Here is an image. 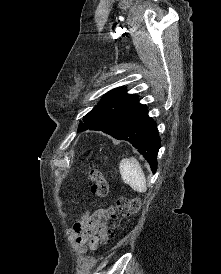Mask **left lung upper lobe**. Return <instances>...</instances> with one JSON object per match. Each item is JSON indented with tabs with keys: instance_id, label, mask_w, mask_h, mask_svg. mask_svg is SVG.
<instances>
[{
	"instance_id": "obj_1",
	"label": "left lung upper lobe",
	"mask_w": 221,
	"mask_h": 274,
	"mask_svg": "<svg viewBox=\"0 0 221 274\" xmlns=\"http://www.w3.org/2000/svg\"><path fill=\"white\" fill-rule=\"evenodd\" d=\"M135 98H137V96L128 95L125 92V88L124 87H119V88H115V89L109 91L102 98V100L99 102V104L97 106H101V105H104V104H106L108 102L116 101V100H120V99L131 100V99H135ZM97 106H95V107H97ZM92 112H93V110H91L87 115H85L83 117V122H80L78 130H77L78 132L83 131L86 127H89L93 123L94 117H93Z\"/></svg>"
}]
</instances>
